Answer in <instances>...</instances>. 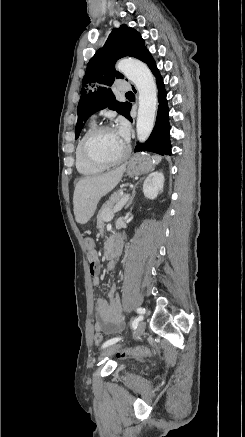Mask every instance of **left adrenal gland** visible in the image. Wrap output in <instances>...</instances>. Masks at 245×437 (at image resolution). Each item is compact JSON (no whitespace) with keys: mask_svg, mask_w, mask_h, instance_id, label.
I'll return each mask as SVG.
<instances>
[{"mask_svg":"<svg viewBox=\"0 0 245 437\" xmlns=\"http://www.w3.org/2000/svg\"><path fill=\"white\" fill-rule=\"evenodd\" d=\"M135 194H136L135 189H133L132 196L130 197V200L128 201V203H127V205H126V207H125L126 209L129 208L130 205L132 204L133 199H134V197H135Z\"/></svg>","mask_w":245,"mask_h":437,"instance_id":"1","label":"left adrenal gland"}]
</instances>
